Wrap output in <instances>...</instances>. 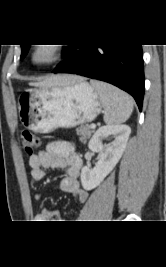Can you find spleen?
<instances>
[{
  "mask_svg": "<svg viewBox=\"0 0 166 267\" xmlns=\"http://www.w3.org/2000/svg\"><path fill=\"white\" fill-rule=\"evenodd\" d=\"M105 110L104 122L108 125L125 122L133 111V99L120 89L100 81L91 80Z\"/></svg>",
  "mask_w": 166,
  "mask_h": 267,
  "instance_id": "obj_1",
  "label": "spleen"
}]
</instances>
